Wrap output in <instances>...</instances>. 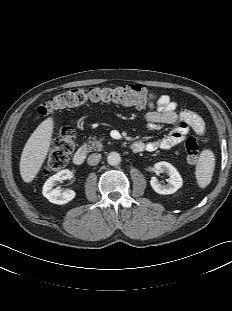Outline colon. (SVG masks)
I'll return each mask as SVG.
<instances>
[{
    "label": "colon",
    "mask_w": 232,
    "mask_h": 311,
    "mask_svg": "<svg viewBox=\"0 0 232 311\" xmlns=\"http://www.w3.org/2000/svg\"><path fill=\"white\" fill-rule=\"evenodd\" d=\"M88 102L115 103L139 109L151 108L154 98L140 85H124L113 88H74L59 93L40 107V113L47 115L56 110L77 107ZM75 131L70 126L62 127L48 154L44 170L47 172L63 168L75 148ZM186 159L195 164L199 158V143L190 136L185 141Z\"/></svg>",
    "instance_id": "obj_1"
}]
</instances>
